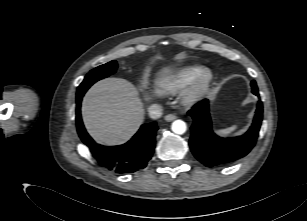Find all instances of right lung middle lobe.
<instances>
[{
	"label": "right lung middle lobe",
	"mask_w": 307,
	"mask_h": 221,
	"mask_svg": "<svg viewBox=\"0 0 307 221\" xmlns=\"http://www.w3.org/2000/svg\"><path fill=\"white\" fill-rule=\"evenodd\" d=\"M117 69L116 61H111L91 70L77 89V96L84 95L88 88L100 79L115 73Z\"/></svg>",
	"instance_id": "right-lung-middle-lobe-1"
}]
</instances>
